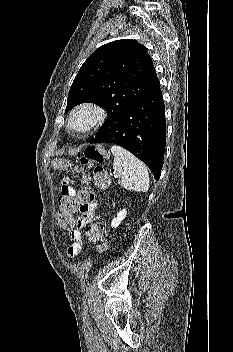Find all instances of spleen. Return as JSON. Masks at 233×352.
Instances as JSON below:
<instances>
[{"instance_id":"spleen-1","label":"spleen","mask_w":233,"mask_h":352,"mask_svg":"<svg viewBox=\"0 0 233 352\" xmlns=\"http://www.w3.org/2000/svg\"><path fill=\"white\" fill-rule=\"evenodd\" d=\"M111 152L114 155L113 169L121 175V185L127 190L147 192L150 179L144 163L120 146L113 145Z\"/></svg>"}]
</instances>
